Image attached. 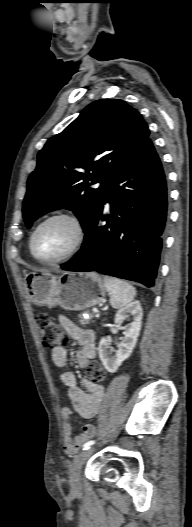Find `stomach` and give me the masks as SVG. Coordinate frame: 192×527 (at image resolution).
<instances>
[{"label": "stomach", "mask_w": 192, "mask_h": 527, "mask_svg": "<svg viewBox=\"0 0 192 527\" xmlns=\"http://www.w3.org/2000/svg\"><path fill=\"white\" fill-rule=\"evenodd\" d=\"M26 285L34 304L70 311L93 307L103 301L106 293L103 279L94 272H65L60 276L34 272L26 276Z\"/></svg>", "instance_id": "1"}]
</instances>
